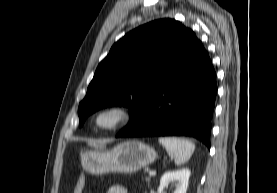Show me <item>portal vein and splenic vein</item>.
Masks as SVG:
<instances>
[{"label": "portal vein and splenic vein", "mask_w": 277, "mask_h": 193, "mask_svg": "<svg viewBox=\"0 0 277 193\" xmlns=\"http://www.w3.org/2000/svg\"><path fill=\"white\" fill-rule=\"evenodd\" d=\"M155 175H156V171L155 170L149 171V176H155Z\"/></svg>", "instance_id": "portal-vein-and-splenic-vein-1"}]
</instances>
